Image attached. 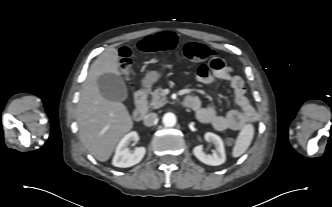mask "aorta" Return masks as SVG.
Here are the masks:
<instances>
[{"mask_svg":"<svg viewBox=\"0 0 332 207\" xmlns=\"http://www.w3.org/2000/svg\"><path fill=\"white\" fill-rule=\"evenodd\" d=\"M162 122L166 127H173L176 124V116L173 113H166L163 116Z\"/></svg>","mask_w":332,"mask_h":207,"instance_id":"762f6f07","label":"aorta"}]
</instances>
